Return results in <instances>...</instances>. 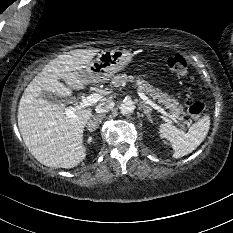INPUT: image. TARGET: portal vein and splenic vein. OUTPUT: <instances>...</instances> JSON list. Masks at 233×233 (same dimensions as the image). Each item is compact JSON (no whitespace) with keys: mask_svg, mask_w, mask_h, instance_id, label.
Segmentation results:
<instances>
[{"mask_svg":"<svg viewBox=\"0 0 233 233\" xmlns=\"http://www.w3.org/2000/svg\"><path fill=\"white\" fill-rule=\"evenodd\" d=\"M138 95L146 104L150 105L152 108H154L155 110H157L158 112H160L164 116L169 117V118L173 119L174 121H176L175 117L173 115H170L169 113H167L164 108H162L158 104L154 103L144 93L138 92ZM102 97H103V95L98 94V93H94V94H91L87 97H84V98H82V101L79 104H77L75 107H70V108L66 109L65 114L69 117H73L74 112L76 110H79V109H82L85 107H89L92 104H94L95 102H98Z\"/></svg>","mask_w":233,"mask_h":233,"instance_id":"18ae733b","label":"portal vein and splenic vein"}]
</instances>
